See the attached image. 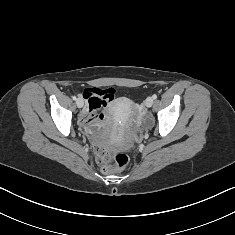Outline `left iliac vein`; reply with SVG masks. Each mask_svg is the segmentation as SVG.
<instances>
[{"label":"left iliac vein","mask_w":235,"mask_h":235,"mask_svg":"<svg viewBox=\"0 0 235 235\" xmlns=\"http://www.w3.org/2000/svg\"><path fill=\"white\" fill-rule=\"evenodd\" d=\"M153 102H154L153 97H148V98L145 100V105H146V107H151V106L153 105Z\"/></svg>","instance_id":"1"}]
</instances>
